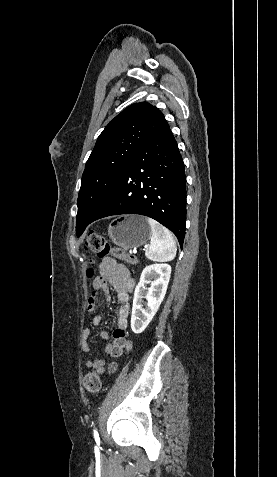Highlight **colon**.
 I'll return each instance as SVG.
<instances>
[{
    "label": "colon",
    "mask_w": 277,
    "mask_h": 477,
    "mask_svg": "<svg viewBox=\"0 0 277 477\" xmlns=\"http://www.w3.org/2000/svg\"><path fill=\"white\" fill-rule=\"evenodd\" d=\"M85 248L92 254V258L96 257L103 259L109 254L116 258L129 262L133 267L139 266V259L137 256L130 255L120 248L112 247L108 240L95 232H90L85 239ZM88 276L93 278L94 271L92 268L88 270ZM84 387L89 393H97L101 388V380L99 373L96 371L89 372L84 377Z\"/></svg>",
    "instance_id": "colon-1"
}]
</instances>
